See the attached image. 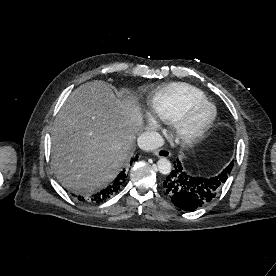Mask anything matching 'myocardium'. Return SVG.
Here are the masks:
<instances>
[{"label":"myocardium","instance_id":"f54148a6","mask_svg":"<svg viewBox=\"0 0 276 276\" xmlns=\"http://www.w3.org/2000/svg\"><path fill=\"white\" fill-rule=\"evenodd\" d=\"M202 106H208L212 110L210 118L199 128H189V117L191 113ZM217 116L215 106L208 100H197L188 104L181 115L172 123L175 138L183 145H194L198 143L213 125Z\"/></svg>","mask_w":276,"mask_h":276}]
</instances>
